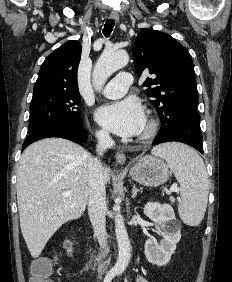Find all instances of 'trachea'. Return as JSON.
<instances>
[{
    "label": "trachea",
    "instance_id": "obj_1",
    "mask_svg": "<svg viewBox=\"0 0 232 282\" xmlns=\"http://www.w3.org/2000/svg\"><path fill=\"white\" fill-rule=\"evenodd\" d=\"M114 25H115V20L113 19H108L104 25V28H103V34L105 37H108L110 36L113 28H114Z\"/></svg>",
    "mask_w": 232,
    "mask_h": 282
}]
</instances>
